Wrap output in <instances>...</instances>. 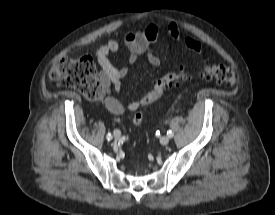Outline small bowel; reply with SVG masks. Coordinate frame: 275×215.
Instances as JSON below:
<instances>
[{
	"instance_id": "c3829d8e",
	"label": "small bowel",
	"mask_w": 275,
	"mask_h": 215,
	"mask_svg": "<svg viewBox=\"0 0 275 215\" xmlns=\"http://www.w3.org/2000/svg\"><path fill=\"white\" fill-rule=\"evenodd\" d=\"M167 33L174 41L180 40V31L178 25L170 22L167 26ZM158 36V28L155 24H148L140 31H127L123 35V42L129 50L128 61L130 64H135L141 55H145L150 65L158 67L161 63L159 56L153 49V45ZM185 46L194 53H200L202 43L195 37L186 36L184 38ZM120 51V44L115 39H109L101 45L96 51V58L100 66V80L106 97L104 103L106 108L115 115H121L125 111L123 104L114 96L111 95V89L119 91L122 87V82L128 73L127 67L115 66L111 59V54H116ZM139 102L136 100L130 101L127 108L134 111L138 108Z\"/></svg>"
}]
</instances>
